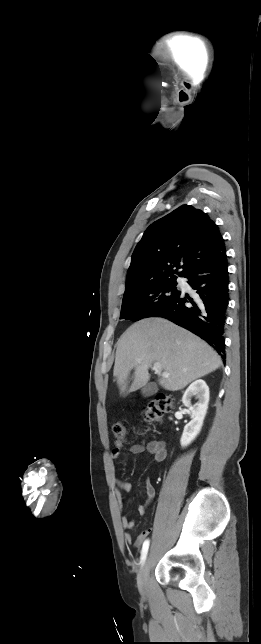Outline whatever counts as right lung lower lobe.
<instances>
[{
    "mask_svg": "<svg viewBox=\"0 0 261 644\" xmlns=\"http://www.w3.org/2000/svg\"><path fill=\"white\" fill-rule=\"evenodd\" d=\"M199 297L184 293L155 314L182 326L208 342L225 359V322L229 301L226 256L213 264L188 271L184 276Z\"/></svg>",
    "mask_w": 261,
    "mask_h": 644,
    "instance_id": "98d812e1",
    "label": "right lung lower lobe"
}]
</instances>
